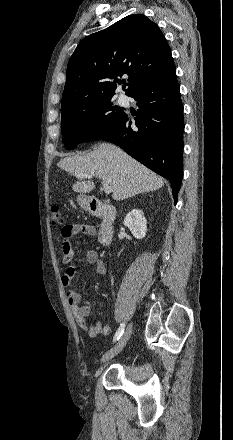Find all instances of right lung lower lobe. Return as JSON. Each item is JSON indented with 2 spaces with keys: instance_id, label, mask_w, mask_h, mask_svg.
Wrapping results in <instances>:
<instances>
[{
  "instance_id": "98d812e1",
  "label": "right lung lower lobe",
  "mask_w": 233,
  "mask_h": 440,
  "mask_svg": "<svg viewBox=\"0 0 233 440\" xmlns=\"http://www.w3.org/2000/svg\"><path fill=\"white\" fill-rule=\"evenodd\" d=\"M130 97L138 101L136 127L127 114L101 139L120 146L130 156L172 183L177 202L183 176V105L173 67Z\"/></svg>"
}]
</instances>
